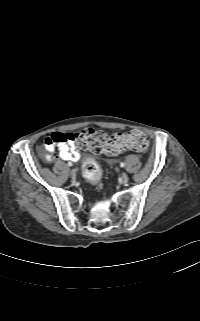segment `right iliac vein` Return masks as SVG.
Returning <instances> with one entry per match:
<instances>
[{
	"instance_id": "right-iliac-vein-1",
	"label": "right iliac vein",
	"mask_w": 200,
	"mask_h": 321,
	"mask_svg": "<svg viewBox=\"0 0 200 321\" xmlns=\"http://www.w3.org/2000/svg\"><path fill=\"white\" fill-rule=\"evenodd\" d=\"M70 175L74 179L76 177V171L74 169L70 170Z\"/></svg>"
}]
</instances>
